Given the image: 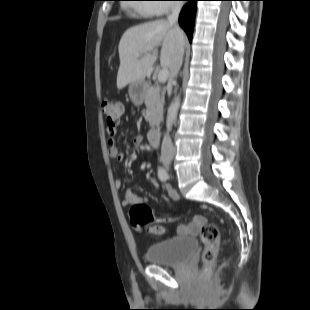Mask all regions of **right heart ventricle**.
Listing matches in <instances>:
<instances>
[{"mask_svg":"<svg viewBox=\"0 0 310 310\" xmlns=\"http://www.w3.org/2000/svg\"><path fill=\"white\" fill-rule=\"evenodd\" d=\"M151 4H144L139 6L138 12L142 15H144L145 17H151L155 15L154 10L150 7Z\"/></svg>","mask_w":310,"mask_h":310,"instance_id":"obj_1","label":"right heart ventricle"}]
</instances>
